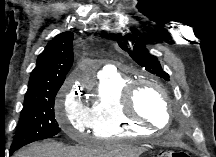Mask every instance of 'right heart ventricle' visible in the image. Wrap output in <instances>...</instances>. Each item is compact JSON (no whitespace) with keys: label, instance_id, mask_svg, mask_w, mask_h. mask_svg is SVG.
Wrapping results in <instances>:
<instances>
[{"label":"right heart ventricle","instance_id":"obj_1","mask_svg":"<svg viewBox=\"0 0 216 157\" xmlns=\"http://www.w3.org/2000/svg\"><path fill=\"white\" fill-rule=\"evenodd\" d=\"M130 81V77L119 72L98 78L96 95L89 107L90 128L94 137H133L152 130L135 123L123 113L122 91Z\"/></svg>","mask_w":216,"mask_h":157}]
</instances>
